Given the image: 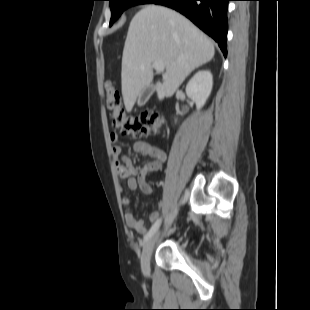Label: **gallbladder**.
<instances>
[{"mask_svg": "<svg viewBox=\"0 0 310 310\" xmlns=\"http://www.w3.org/2000/svg\"><path fill=\"white\" fill-rule=\"evenodd\" d=\"M155 91V85L151 83L148 87H146L139 95L137 104L139 107L144 106L147 101L150 99L151 95Z\"/></svg>", "mask_w": 310, "mask_h": 310, "instance_id": "bac80fb5", "label": "gallbladder"}]
</instances>
